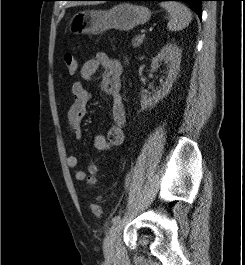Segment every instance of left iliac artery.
<instances>
[{
    "mask_svg": "<svg viewBox=\"0 0 245 265\" xmlns=\"http://www.w3.org/2000/svg\"><path fill=\"white\" fill-rule=\"evenodd\" d=\"M130 179H131V177H130V173H129V174H127L126 179H125L126 187H128V185L130 183ZM120 218H121L120 215H117V216L113 217L112 218V223H115V222L119 221Z\"/></svg>",
    "mask_w": 245,
    "mask_h": 265,
    "instance_id": "left-iliac-artery-1",
    "label": "left iliac artery"
}]
</instances>
